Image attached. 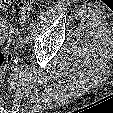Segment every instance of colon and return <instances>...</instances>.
Masks as SVG:
<instances>
[{
	"mask_svg": "<svg viewBox=\"0 0 113 113\" xmlns=\"http://www.w3.org/2000/svg\"><path fill=\"white\" fill-rule=\"evenodd\" d=\"M15 1L17 0H0V8H9L14 5ZM33 8L32 0H24L21 4H19L18 9L16 10L17 13L20 15L21 18L27 16ZM12 37L15 36L13 32ZM10 60V55L7 50L0 49V73L6 67Z\"/></svg>",
	"mask_w": 113,
	"mask_h": 113,
	"instance_id": "obj_1",
	"label": "colon"
}]
</instances>
